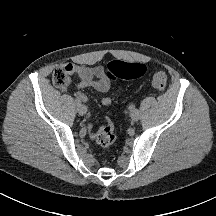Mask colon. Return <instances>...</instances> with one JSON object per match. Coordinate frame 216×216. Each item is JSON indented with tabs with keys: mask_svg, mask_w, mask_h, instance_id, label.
Returning a JSON list of instances; mask_svg holds the SVG:
<instances>
[{
	"mask_svg": "<svg viewBox=\"0 0 216 216\" xmlns=\"http://www.w3.org/2000/svg\"><path fill=\"white\" fill-rule=\"evenodd\" d=\"M145 72V66L140 63H129L120 60L111 61L106 69L105 76L110 81L121 79H135L141 77ZM71 70L68 65L56 68L52 74V82L59 88H66L70 83ZM152 84L158 91H164L167 77L163 71H156L152 77ZM117 140V131L109 122L101 126L95 136V141L103 148H110Z\"/></svg>",
	"mask_w": 216,
	"mask_h": 216,
	"instance_id": "1",
	"label": "colon"
}]
</instances>
